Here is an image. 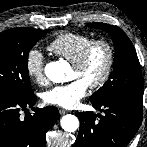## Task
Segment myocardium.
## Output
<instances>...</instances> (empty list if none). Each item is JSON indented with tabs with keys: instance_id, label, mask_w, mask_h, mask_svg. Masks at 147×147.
<instances>
[{
	"instance_id": "f54148a6",
	"label": "myocardium",
	"mask_w": 147,
	"mask_h": 147,
	"mask_svg": "<svg viewBox=\"0 0 147 147\" xmlns=\"http://www.w3.org/2000/svg\"><path fill=\"white\" fill-rule=\"evenodd\" d=\"M98 46H103L106 49L107 63L100 78L95 82L89 84V87L92 89H99L103 87L108 82L113 72L115 64V50L112 43L104 38L95 39L85 47V49L82 51L77 60L72 63L73 68L77 70L83 69L87 64L91 54Z\"/></svg>"
}]
</instances>
